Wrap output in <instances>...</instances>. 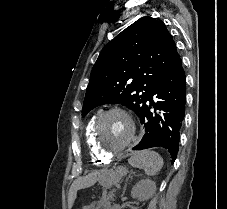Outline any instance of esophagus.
Listing matches in <instances>:
<instances>
[{"label": "esophagus", "mask_w": 227, "mask_h": 209, "mask_svg": "<svg viewBox=\"0 0 227 209\" xmlns=\"http://www.w3.org/2000/svg\"><path fill=\"white\" fill-rule=\"evenodd\" d=\"M143 127L146 129L148 126L145 124ZM144 128L141 130L143 132V133L140 134V137L141 138H144L145 137L144 132L146 130ZM137 141L140 143L142 140L139 138ZM131 147L134 149L136 146L133 144ZM126 152L129 154L131 151L128 149ZM123 156H126V153H123Z\"/></svg>", "instance_id": "obj_1"}]
</instances>
